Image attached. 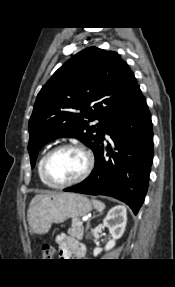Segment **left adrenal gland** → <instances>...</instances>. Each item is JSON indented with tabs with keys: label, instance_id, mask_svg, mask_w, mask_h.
Returning <instances> with one entry per match:
<instances>
[{
	"label": "left adrenal gland",
	"instance_id": "1",
	"mask_svg": "<svg viewBox=\"0 0 175 287\" xmlns=\"http://www.w3.org/2000/svg\"><path fill=\"white\" fill-rule=\"evenodd\" d=\"M92 218H95V216H93ZM92 218H90V219L88 220V222H87V229L89 228L90 220H91Z\"/></svg>",
	"mask_w": 175,
	"mask_h": 287
}]
</instances>
